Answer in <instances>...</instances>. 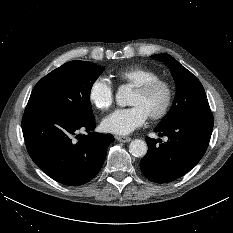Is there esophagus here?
Returning a JSON list of instances; mask_svg holds the SVG:
<instances>
[{
  "label": "esophagus",
  "instance_id": "esophagus-1",
  "mask_svg": "<svg viewBox=\"0 0 233 233\" xmlns=\"http://www.w3.org/2000/svg\"><path fill=\"white\" fill-rule=\"evenodd\" d=\"M118 141L120 142H130L131 141V138L130 137H127V136H116L115 137Z\"/></svg>",
  "mask_w": 233,
  "mask_h": 233
}]
</instances>
